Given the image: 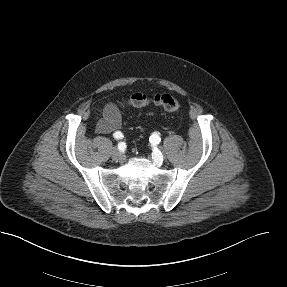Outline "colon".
Masks as SVG:
<instances>
[{
	"instance_id": "colon-1",
	"label": "colon",
	"mask_w": 287,
	"mask_h": 287,
	"mask_svg": "<svg viewBox=\"0 0 287 287\" xmlns=\"http://www.w3.org/2000/svg\"><path fill=\"white\" fill-rule=\"evenodd\" d=\"M122 106L132 107H145L148 105H154L162 108L167 112H176L180 109V102L176 97L171 94H157L154 96H148L143 93L132 94L125 102L121 103Z\"/></svg>"
}]
</instances>
